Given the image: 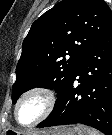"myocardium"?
Returning <instances> with one entry per match:
<instances>
[{"mask_svg":"<svg viewBox=\"0 0 112 135\" xmlns=\"http://www.w3.org/2000/svg\"><path fill=\"white\" fill-rule=\"evenodd\" d=\"M32 95L41 96L44 99L45 108H44L43 112L41 113V115L36 120H34L33 122L28 123V124H22L21 122H19L18 117H17L18 107L25 98L32 96ZM56 102H57L56 95H55L54 91L51 90L50 88L45 87V86L31 87V88L25 90L18 97V99L14 105V109H13L14 119L22 127H26V128L34 127L50 116V114L53 112V110L55 108Z\"/></svg>","mask_w":112,"mask_h":135,"instance_id":"myocardium-1","label":"myocardium"}]
</instances>
